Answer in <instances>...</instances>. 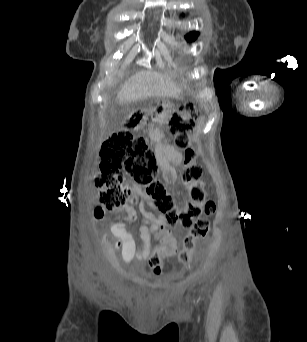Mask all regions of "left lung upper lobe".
<instances>
[{
	"mask_svg": "<svg viewBox=\"0 0 307 342\" xmlns=\"http://www.w3.org/2000/svg\"><path fill=\"white\" fill-rule=\"evenodd\" d=\"M198 35H199L198 32H191V33L187 34V35L185 36V38H186L187 40H189V41H194V40L197 38Z\"/></svg>",
	"mask_w": 307,
	"mask_h": 342,
	"instance_id": "obj_1",
	"label": "left lung upper lobe"
}]
</instances>
